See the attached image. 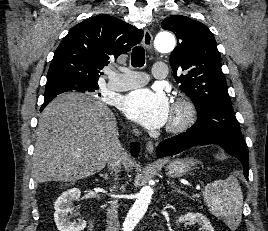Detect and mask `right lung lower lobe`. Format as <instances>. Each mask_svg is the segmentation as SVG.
<instances>
[{
	"mask_svg": "<svg viewBox=\"0 0 268 231\" xmlns=\"http://www.w3.org/2000/svg\"><path fill=\"white\" fill-rule=\"evenodd\" d=\"M46 105L42 106L41 107V110H43V108L45 107ZM139 150H140V145L139 143L137 142H134L131 144V153L133 156H137L139 154Z\"/></svg>",
	"mask_w": 268,
	"mask_h": 231,
	"instance_id": "obj_1",
	"label": "right lung lower lobe"
}]
</instances>
